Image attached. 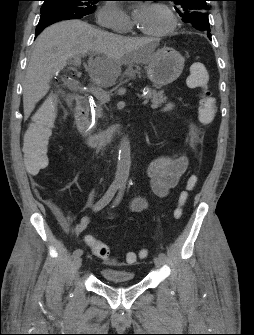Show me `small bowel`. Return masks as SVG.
<instances>
[{"label":"small bowel","mask_w":254,"mask_h":335,"mask_svg":"<svg viewBox=\"0 0 254 335\" xmlns=\"http://www.w3.org/2000/svg\"><path fill=\"white\" fill-rule=\"evenodd\" d=\"M172 108H173L172 105H167L164 108V110L168 111L171 110ZM187 167H188V159L183 155L176 157L158 156L154 158L149 163L147 169V174L151 179L150 188L152 194L158 198L166 197L169 194V192L178 185L179 180L186 172ZM29 173L34 174L35 172H29ZM146 206L147 204L144 199L137 198L132 202L131 209L133 211H142L146 208ZM58 221L64 230L72 233L73 235H79L82 232H84L86 228L89 226L91 218L88 216L82 217L79 223L75 227H71L69 218L66 216H58ZM88 239H91V237L88 236L87 240ZM93 254L96 255L94 252ZM104 260L107 263L110 262L109 259Z\"/></svg>","instance_id":"1"}]
</instances>
